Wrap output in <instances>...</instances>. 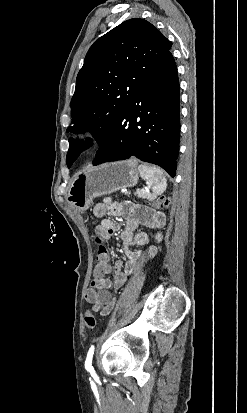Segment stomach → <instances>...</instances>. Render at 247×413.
<instances>
[{
    "mask_svg": "<svg viewBox=\"0 0 247 413\" xmlns=\"http://www.w3.org/2000/svg\"><path fill=\"white\" fill-rule=\"evenodd\" d=\"M140 170L133 158L87 166L70 182L67 202L78 211L89 209L93 198L137 184Z\"/></svg>",
    "mask_w": 247,
    "mask_h": 413,
    "instance_id": "obj_1",
    "label": "stomach"
}]
</instances>
